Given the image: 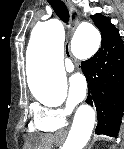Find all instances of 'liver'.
Listing matches in <instances>:
<instances>
[{
    "label": "liver",
    "mask_w": 124,
    "mask_h": 149,
    "mask_svg": "<svg viewBox=\"0 0 124 149\" xmlns=\"http://www.w3.org/2000/svg\"><path fill=\"white\" fill-rule=\"evenodd\" d=\"M52 140V137H32L27 144V149H50Z\"/></svg>",
    "instance_id": "1"
}]
</instances>
